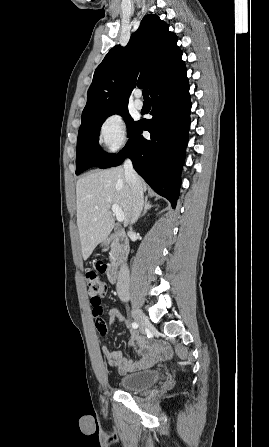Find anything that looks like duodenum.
Returning <instances> with one entry per match:
<instances>
[{
    "mask_svg": "<svg viewBox=\"0 0 269 447\" xmlns=\"http://www.w3.org/2000/svg\"><path fill=\"white\" fill-rule=\"evenodd\" d=\"M114 241L117 253V260L108 268L107 271V276L111 283L117 282L120 271L126 262L129 250L127 238L121 232H117L114 234Z\"/></svg>",
    "mask_w": 269,
    "mask_h": 447,
    "instance_id": "410a0bca",
    "label": "duodenum"
}]
</instances>
